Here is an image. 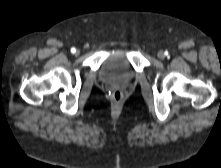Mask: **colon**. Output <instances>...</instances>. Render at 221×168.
I'll list each match as a JSON object with an SVG mask.
<instances>
[{
	"label": "colon",
	"mask_w": 221,
	"mask_h": 168,
	"mask_svg": "<svg viewBox=\"0 0 221 168\" xmlns=\"http://www.w3.org/2000/svg\"><path fill=\"white\" fill-rule=\"evenodd\" d=\"M111 98L112 100L115 102V103H119L122 98H123V95L120 91H114L112 94H111Z\"/></svg>",
	"instance_id": "1"
}]
</instances>
